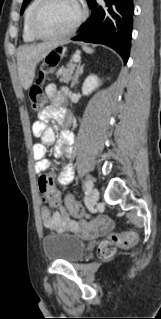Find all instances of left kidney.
<instances>
[{"instance_id":"obj_1","label":"left kidney","mask_w":161,"mask_h":319,"mask_svg":"<svg viewBox=\"0 0 161 319\" xmlns=\"http://www.w3.org/2000/svg\"><path fill=\"white\" fill-rule=\"evenodd\" d=\"M101 82L99 81L96 75H89L82 86V93L83 95L91 94L96 88L99 87Z\"/></svg>"}]
</instances>
